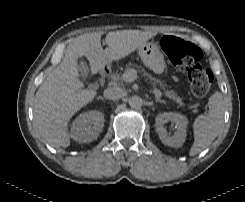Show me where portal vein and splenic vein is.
<instances>
[{
  "label": "portal vein and splenic vein",
  "instance_id": "18ae733b",
  "mask_svg": "<svg viewBox=\"0 0 245 202\" xmlns=\"http://www.w3.org/2000/svg\"><path fill=\"white\" fill-rule=\"evenodd\" d=\"M137 78V72L134 69H128L126 70L123 75L121 76L122 81L124 82H133L134 80H136ZM153 93L155 94V96L161 97L162 93L160 92V90H158L157 88L153 89Z\"/></svg>",
  "mask_w": 245,
  "mask_h": 202
}]
</instances>
